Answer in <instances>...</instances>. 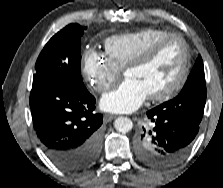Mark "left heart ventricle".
I'll return each instance as SVG.
<instances>
[{"label":"left heart ventricle","instance_id":"left-heart-ventricle-1","mask_svg":"<svg viewBox=\"0 0 223 188\" xmlns=\"http://www.w3.org/2000/svg\"><path fill=\"white\" fill-rule=\"evenodd\" d=\"M183 62V47L180 41H167L144 65L125 72L126 78L141 84L148 96L170 87L177 78Z\"/></svg>","mask_w":223,"mask_h":188}]
</instances>
